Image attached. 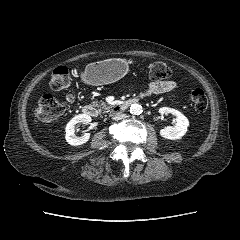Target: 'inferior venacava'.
Here are the masks:
<instances>
[{"label":"inferior vena cava","instance_id":"inferior-vena-cava-1","mask_svg":"<svg viewBox=\"0 0 240 240\" xmlns=\"http://www.w3.org/2000/svg\"><path fill=\"white\" fill-rule=\"evenodd\" d=\"M111 117H112L113 120L118 121V120L125 119L126 118V114H123V113H113L111 115Z\"/></svg>","mask_w":240,"mask_h":240}]
</instances>
